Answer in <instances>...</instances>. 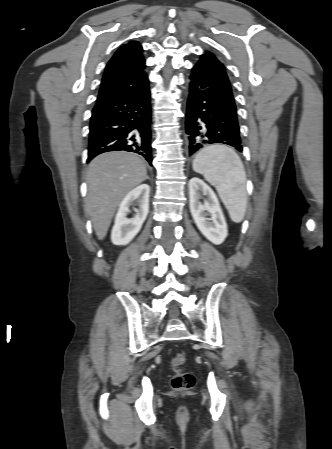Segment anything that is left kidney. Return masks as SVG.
Here are the masks:
<instances>
[{"label":"left kidney","mask_w":332,"mask_h":449,"mask_svg":"<svg viewBox=\"0 0 332 449\" xmlns=\"http://www.w3.org/2000/svg\"><path fill=\"white\" fill-rule=\"evenodd\" d=\"M188 186L190 212L197 228L210 242L220 245L227 237L228 231L216 194L198 177L190 179ZM201 199H204V204L200 202ZM207 215H210V218H207Z\"/></svg>","instance_id":"obj_1"}]
</instances>
